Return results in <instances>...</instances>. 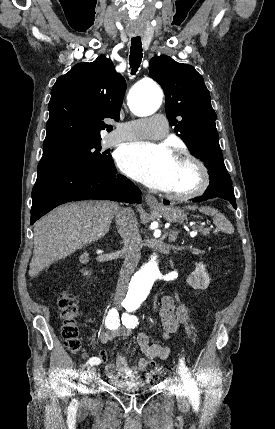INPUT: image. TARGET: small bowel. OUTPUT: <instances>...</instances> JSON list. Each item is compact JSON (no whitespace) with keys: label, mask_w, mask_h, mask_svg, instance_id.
Here are the masks:
<instances>
[{"label":"small bowel","mask_w":275,"mask_h":429,"mask_svg":"<svg viewBox=\"0 0 275 429\" xmlns=\"http://www.w3.org/2000/svg\"><path fill=\"white\" fill-rule=\"evenodd\" d=\"M158 315L163 325L164 338H168L169 335L177 332L180 325L188 324L190 321L189 306L185 303L177 305L174 298L170 295L162 297ZM129 335L130 329L121 326L117 329L103 331L99 336V341L102 344H106L114 338L127 337ZM137 343L145 357L140 358L134 366L130 367L125 356L118 354L114 363H109L105 366L106 375L109 378H137L147 368L150 361L154 359L165 360L170 354L168 347L150 343L149 336L145 332H140L137 335ZM100 356L104 358L105 353H101Z\"/></svg>","instance_id":"c3829d8e"}]
</instances>
